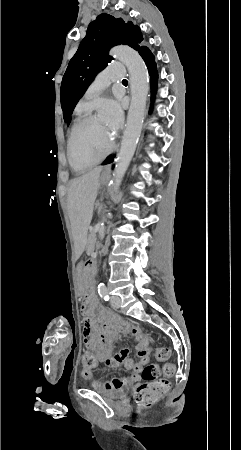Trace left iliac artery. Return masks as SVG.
I'll list each match as a JSON object with an SVG mask.
<instances>
[{"label": "left iliac artery", "mask_w": 241, "mask_h": 450, "mask_svg": "<svg viewBox=\"0 0 241 450\" xmlns=\"http://www.w3.org/2000/svg\"><path fill=\"white\" fill-rule=\"evenodd\" d=\"M98 293L105 301L109 300L108 289H107V287L105 285H99L98 286Z\"/></svg>", "instance_id": "1"}]
</instances>
